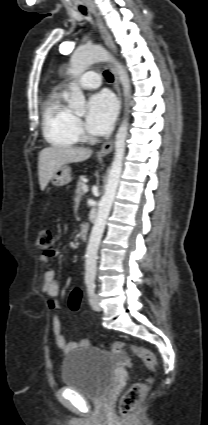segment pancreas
<instances>
[{"label":"pancreas","mask_w":208,"mask_h":425,"mask_svg":"<svg viewBox=\"0 0 208 425\" xmlns=\"http://www.w3.org/2000/svg\"><path fill=\"white\" fill-rule=\"evenodd\" d=\"M84 179H85V176L80 177L78 184H77V189L75 191V197H74V203H75L74 210H75V212L77 211L79 204H80V201H81V199L84 195L83 187L86 185Z\"/></svg>","instance_id":"obj_1"}]
</instances>
